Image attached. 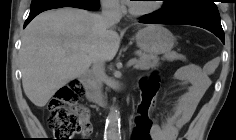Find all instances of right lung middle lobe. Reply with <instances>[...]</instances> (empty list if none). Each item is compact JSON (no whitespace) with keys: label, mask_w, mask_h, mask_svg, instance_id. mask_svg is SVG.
I'll use <instances>...</instances> for the list:
<instances>
[{"label":"right lung middle lobe","mask_w":236,"mask_h":140,"mask_svg":"<svg viewBox=\"0 0 236 140\" xmlns=\"http://www.w3.org/2000/svg\"><path fill=\"white\" fill-rule=\"evenodd\" d=\"M64 2H73L82 4L87 6L91 9H99V1L98 0H32L30 9H35L47 5L57 4V3H64Z\"/></svg>","instance_id":"right-lung-middle-lobe-1"}]
</instances>
